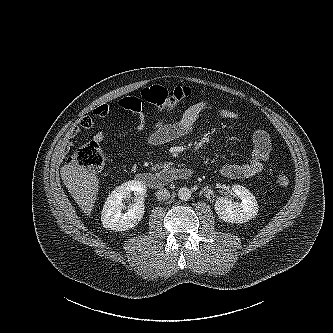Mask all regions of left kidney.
<instances>
[{
	"label": "left kidney",
	"mask_w": 333,
	"mask_h": 333,
	"mask_svg": "<svg viewBox=\"0 0 333 333\" xmlns=\"http://www.w3.org/2000/svg\"><path fill=\"white\" fill-rule=\"evenodd\" d=\"M231 191L240 198L241 202H232L227 198H219L215 202L218 217L228 223L243 224L254 218L258 213L255 196L241 185H233Z\"/></svg>",
	"instance_id": "left-kidney-1"
}]
</instances>
